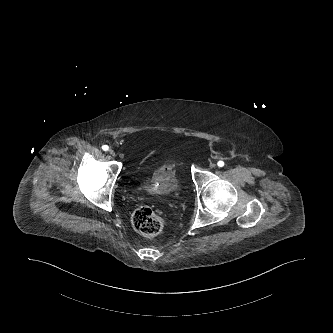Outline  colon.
<instances>
[{
  "label": "colon",
  "instance_id": "obj_1",
  "mask_svg": "<svg viewBox=\"0 0 333 333\" xmlns=\"http://www.w3.org/2000/svg\"><path fill=\"white\" fill-rule=\"evenodd\" d=\"M132 224L136 231L148 237L156 236L164 229L163 219L146 206L135 210L132 215Z\"/></svg>",
  "mask_w": 333,
  "mask_h": 333
}]
</instances>
